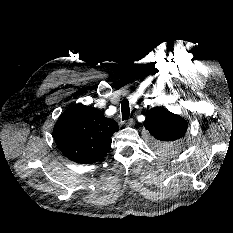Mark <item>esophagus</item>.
<instances>
[{"label":"esophagus","instance_id":"obj_1","mask_svg":"<svg viewBox=\"0 0 233 233\" xmlns=\"http://www.w3.org/2000/svg\"><path fill=\"white\" fill-rule=\"evenodd\" d=\"M126 126H131L133 124V119H129L128 121L124 122Z\"/></svg>","mask_w":233,"mask_h":233}]
</instances>
